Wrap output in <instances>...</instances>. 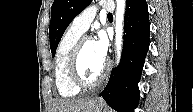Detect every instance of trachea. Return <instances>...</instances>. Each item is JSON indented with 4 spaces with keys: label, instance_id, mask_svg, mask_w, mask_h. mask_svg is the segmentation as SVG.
I'll use <instances>...</instances> for the list:
<instances>
[{
    "label": "trachea",
    "instance_id": "3493384b",
    "mask_svg": "<svg viewBox=\"0 0 193 112\" xmlns=\"http://www.w3.org/2000/svg\"><path fill=\"white\" fill-rule=\"evenodd\" d=\"M108 16H109V17H112L113 15H112L111 13H108Z\"/></svg>",
    "mask_w": 193,
    "mask_h": 112
}]
</instances>
